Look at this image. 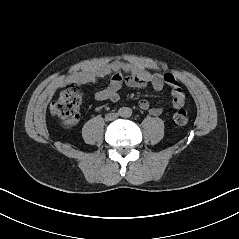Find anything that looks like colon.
Instances as JSON below:
<instances>
[{
  "instance_id": "1",
  "label": "colon",
  "mask_w": 239,
  "mask_h": 239,
  "mask_svg": "<svg viewBox=\"0 0 239 239\" xmlns=\"http://www.w3.org/2000/svg\"><path fill=\"white\" fill-rule=\"evenodd\" d=\"M82 89L75 81H69L65 91L51 105V111L64 125H74L79 118ZM176 125H185L188 121L187 111L179 108L173 116Z\"/></svg>"
}]
</instances>
